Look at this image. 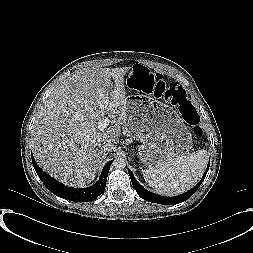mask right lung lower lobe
Listing matches in <instances>:
<instances>
[{"mask_svg":"<svg viewBox=\"0 0 253 253\" xmlns=\"http://www.w3.org/2000/svg\"><path fill=\"white\" fill-rule=\"evenodd\" d=\"M32 163L39 178L52 193L70 201L90 202V201L95 200L104 191L105 186H106L107 176H108L112 161L108 162L104 166L100 179L95 185L90 186L88 188H81V189L67 187L61 184L60 182H58L57 180H55L54 178H52L50 175L46 174L36 164L33 156H32Z\"/></svg>","mask_w":253,"mask_h":253,"instance_id":"right-lung-lower-lobe-1","label":"right lung lower lobe"}]
</instances>
